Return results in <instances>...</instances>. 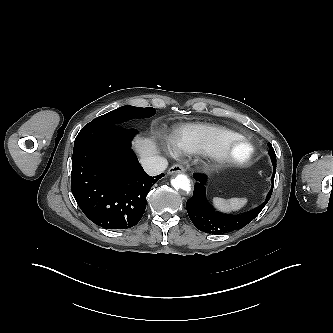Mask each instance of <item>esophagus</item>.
<instances>
[{
    "label": "esophagus",
    "mask_w": 333,
    "mask_h": 333,
    "mask_svg": "<svg viewBox=\"0 0 333 333\" xmlns=\"http://www.w3.org/2000/svg\"><path fill=\"white\" fill-rule=\"evenodd\" d=\"M185 171L184 167L180 164H174L168 169V174H177V173H183Z\"/></svg>",
    "instance_id": "1"
}]
</instances>
